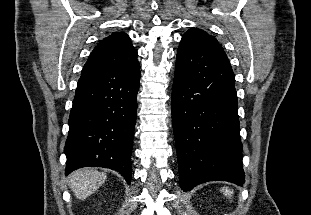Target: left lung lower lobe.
I'll return each instance as SVG.
<instances>
[{
  "label": "left lung lower lobe",
  "mask_w": 311,
  "mask_h": 215,
  "mask_svg": "<svg viewBox=\"0 0 311 215\" xmlns=\"http://www.w3.org/2000/svg\"><path fill=\"white\" fill-rule=\"evenodd\" d=\"M234 85L223 48L204 37H182L171 111L183 191L213 180L245 182Z\"/></svg>",
  "instance_id": "0a47b994"
}]
</instances>
